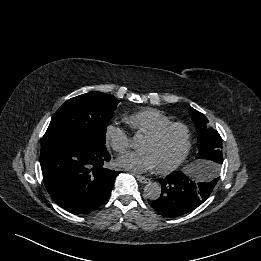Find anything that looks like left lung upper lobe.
<instances>
[{
  "label": "left lung upper lobe",
  "mask_w": 261,
  "mask_h": 261,
  "mask_svg": "<svg viewBox=\"0 0 261 261\" xmlns=\"http://www.w3.org/2000/svg\"><path fill=\"white\" fill-rule=\"evenodd\" d=\"M189 114L194 121L196 130L200 132L197 140L199 152L196 158L204 160V164L219 169L223 163L222 139L219 133L212 128H206L208 120L201 112L192 109Z\"/></svg>",
  "instance_id": "5c2ea615"
}]
</instances>
